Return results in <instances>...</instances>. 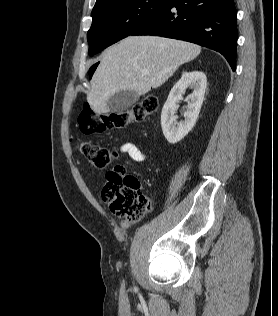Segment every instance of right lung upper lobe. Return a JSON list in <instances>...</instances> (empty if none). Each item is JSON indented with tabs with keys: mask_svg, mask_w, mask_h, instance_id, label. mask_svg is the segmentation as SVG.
Instances as JSON below:
<instances>
[{
	"mask_svg": "<svg viewBox=\"0 0 278 316\" xmlns=\"http://www.w3.org/2000/svg\"><path fill=\"white\" fill-rule=\"evenodd\" d=\"M104 1H107V0H97L95 6L100 4L101 2H104Z\"/></svg>",
	"mask_w": 278,
	"mask_h": 316,
	"instance_id": "1",
	"label": "right lung upper lobe"
}]
</instances>
